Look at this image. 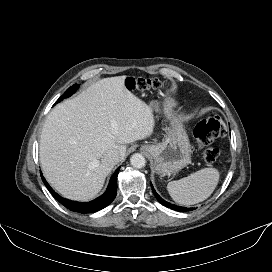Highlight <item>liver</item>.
I'll return each mask as SVG.
<instances>
[{"label":"liver","mask_w":272,"mask_h":272,"mask_svg":"<svg viewBox=\"0 0 272 272\" xmlns=\"http://www.w3.org/2000/svg\"><path fill=\"white\" fill-rule=\"evenodd\" d=\"M126 76L104 78L54 107L43 125L39 157L49 184L71 200L88 201L102 189L114 165L110 150L145 139L155 127L152 107L125 87Z\"/></svg>","instance_id":"1"}]
</instances>
